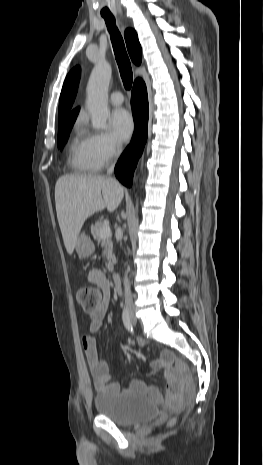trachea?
Segmentation results:
<instances>
[{
  "label": "trachea",
  "mask_w": 263,
  "mask_h": 465,
  "mask_svg": "<svg viewBox=\"0 0 263 465\" xmlns=\"http://www.w3.org/2000/svg\"><path fill=\"white\" fill-rule=\"evenodd\" d=\"M108 31L110 33L112 46L115 58L119 67L120 75L125 89H130L133 82V72L131 63L126 52L123 38L116 27L115 18L113 16H103Z\"/></svg>",
  "instance_id": "1"
}]
</instances>
